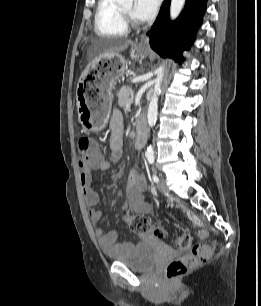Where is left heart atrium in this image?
Wrapping results in <instances>:
<instances>
[{
  "label": "left heart atrium",
  "instance_id": "obj_1",
  "mask_svg": "<svg viewBox=\"0 0 261 306\" xmlns=\"http://www.w3.org/2000/svg\"><path fill=\"white\" fill-rule=\"evenodd\" d=\"M160 0H134L133 17L138 21L151 19L159 6Z\"/></svg>",
  "mask_w": 261,
  "mask_h": 306
}]
</instances>
